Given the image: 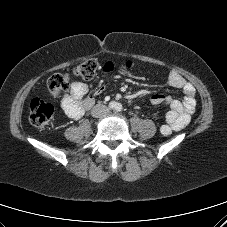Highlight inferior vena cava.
I'll use <instances>...</instances> for the list:
<instances>
[{
  "instance_id": "602c4592",
  "label": "inferior vena cava",
  "mask_w": 227,
  "mask_h": 227,
  "mask_svg": "<svg viewBox=\"0 0 227 227\" xmlns=\"http://www.w3.org/2000/svg\"><path fill=\"white\" fill-rule=\"evenodd\" d=\"M102 107H103L104 109H106L105 106H102ZM95 109H98V107H95Z\"/></svg>"
}]
</instances>
